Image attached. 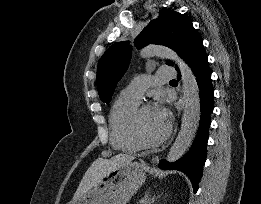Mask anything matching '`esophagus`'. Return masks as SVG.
Returning <instances> with one entry per match:
<instances>
[{"mask_svg":"<svg viewBox=\"0 0 261 204\" xmlns=\"http://www.w3.org/2000/svg\"><path fill=\"white\" fill-rule=\"evenodd\" d=\"M152 161H153V162L158 161V157H154V158L152 159Z\"/></svg>","mask_w":261,"mask_h":204,"instance_id":"esophagus-1","label":"esophagus"}]
</instances>
